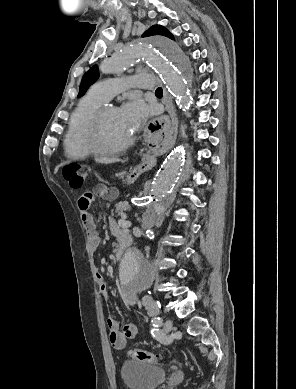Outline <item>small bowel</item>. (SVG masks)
<instances>
[{"instance_id":"c3829d8e","label":"small bowel","mask_w":296,"mask_h":389,"mask_svg":"<svg viewBox=\"0 0 296 389\" xmlns=\"http://www.w3.org/2000/svg\"><path fill=\"white\" fill-rule=\"evenodd\" d=\"M116 196V188H109L105 185H98L93 189L92 192H87L81 195L78 199V208L80 210L81 221L87 231L90 247L93 251H96L98 249L100 244V238L96 231L92 215L89 213L88 209L94 201L95 197L112 200L115 199ZM111 230L118 240L122 236L129 235L126 231L120 229L114 221L111 222ZM97 279L100 283L101 294L105 298H107L108 286L104 282L103 277L100 273H97ZM141 303L148 312H155V303L150 297L144 296L141 299ZM107 326L109 329V342L112 347L117 350L124 349L127 345V342L129 340L135 339L138 334L137 327L134 324H126L122 329H120L119 322L112 316H109L107 318Z\"/></svg>"}]
</instances>
